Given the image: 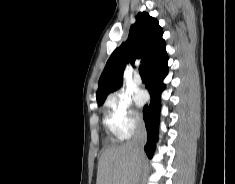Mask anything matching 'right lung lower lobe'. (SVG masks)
<instances>
[{"instance_id": "obj_1", "label": "right lung lower lobe", "mask_w": 235, "mask_h": 184, "mask_svg": "<svg viewBox=\"0 0 235 184\" xmlns=\"http://www.w3.org/2000/svg\"><path fill=\"white\" fill-rule=\"evenodd\" d=\"M168 56L160 62L147 69L148 84L146 88L151 96V103L143 108V118L147 129V143L144 150L149 158H152L155 143L158 139L159 113H160V94L165 88L162 80L168 74Z\"/></svg>"}]
</instances>
